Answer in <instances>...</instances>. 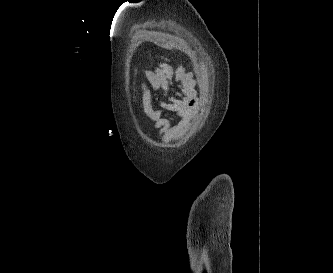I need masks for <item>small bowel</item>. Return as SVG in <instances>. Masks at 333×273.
Returning a JSON list of instances; mask_svg holds the SVG:
<instances>
[{
  "mask_svg": "<svg viewBox=\"0 0 333 273\" xmlns=\"http://www.w3.org/2000/svg\"><path fill=\"white\" fill-rule=\"evenodd\" d=\"M164 61L158 63L154 69L143 70L151 88L143 82L141 85V110L144 117L159 130L161 139H170L185 124L189 111L196 105V91L194 80L184 67L174 69L168 59L160 56ZM178 84L182 92L180 99L168 100L171 87ZM167 98V100H166ZM172 111L180 118V125L172 128L165 112Z\"/></svg>",
  "mask_w": 333,
  "mask_h": 273,
  "instance_id": "c3829d8e",
  "label": "small bowel"
}]
</instances>
